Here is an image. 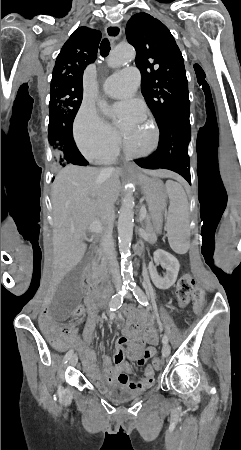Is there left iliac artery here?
<instances>
[{"label": "left iliac artery", "mask_w": 241, "mask_h": 450, "mask_svg": "<svg viewBox=\"0 0 241 450\" xmlns=\"http://www.w3.org/2000/svg\"><path fill=\"white\" fill-rule=\"evenodd\" d=\"M130 290L132 291L133 295L135 296V298L137 299V301L144 305L147 306L148 300H147V296L145 295V293L141 290V288L137 285H133ZM162 343L165 345L168 343V338L166 335L163 336L162 338Z\"/></svg>", "instance_id": "left-iliac-artery-1"}]
</instances>
